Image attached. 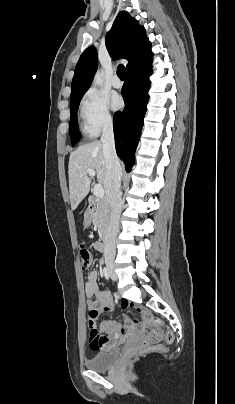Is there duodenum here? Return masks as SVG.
<instances>
[{
	"label": "duodenum",
	"instance_id": "1",
	"mask_svg": "<svg viewBox=\"0 0 235 404\" xmlns=\"http://www.w3.org/2000/svg\"><path fill=\"white\" fill-rule=\"evenodd\" d=\"M95 210V199L94 198H90L88 201V206H87V214L89 216L93 215ZM104 242H106V238H104Z\"/></svg>",
	"mask_w": 235,
	"mask_h": 404
}]
</instances>
